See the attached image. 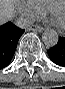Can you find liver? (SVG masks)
<instances>
[{
  "label": "liver",
  "instance_id": "6515ba94",
  "mask_svg": "<svg viewBox=\"0 0 65 89\" xmlns=\"http://www.w3.org/2000/svg\"><path fill=\"white\" fill-rule=\"evenodd\" d=\"M15 7L12 0H0V20L11 18L14 14Z\"/></svg>",
  "mask_w": 65,
  "mask_h": 89
}]
</instances>
